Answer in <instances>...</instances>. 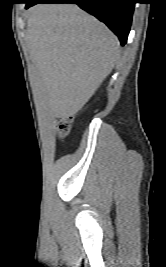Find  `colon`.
Returning a JSON list of instances; mask_svg holds the SVG:
<instances>
[{"label":"colon","instance_id":"5ec220e1","mask_svg":"<svg viewBox=\"0 0 166 267\" xmlns=\"http://www.w3.org/2000/svg\"><path fill=\"white\" fill-rule=\"evenodd\" d=\"M71 116H63L58 120V132L60 137H65L70 131Z\"/></svg>","mask_w":166,"mask_h":267}]
</instances>
